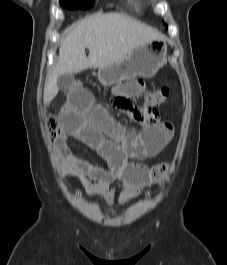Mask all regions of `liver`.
Masks as SVG:
<instances>
[{
    "label": "liver",
    "mask_w": 227,
    "mask_h": 265,
    "mask_svg": "<svg viewBox=\"0 0 227 265\" xmlns=\"http://www.w3.org/2000/svg\"><path fill=\"white\" fill-rule=\"evenodd\" d=\"M164 38L158 30L116 12L79 21L67 30L60 45L59 58L45 82L44 103H50L58 94L59 75L108 67L122 61L135 47ZM85 48L89 49L88 57Z\"/></svg>",
    "instance_id": "obj_1"
}]
</instances>
